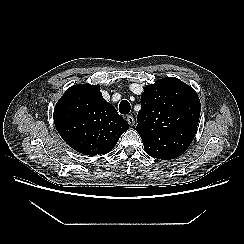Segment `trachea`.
Instances as JSON below:
<instances>
[{
    "label": "trachea",
    "mask_w": 244,
    "mask_h": 244,
    "mask_svg": "<svg viewBox=\"0 0 244 244\" xmlns=\"http://www.w3.org/2000/svg\"><path fill=\"white\" fill-rule=\"evenodd\" d=\"M131 110L130 103L127 100H122L119 104V112L121 114H128Z\"/></svg>",
    "instance_id": "trachea-1"
}]
</instances>
